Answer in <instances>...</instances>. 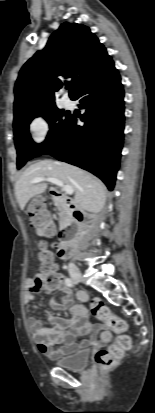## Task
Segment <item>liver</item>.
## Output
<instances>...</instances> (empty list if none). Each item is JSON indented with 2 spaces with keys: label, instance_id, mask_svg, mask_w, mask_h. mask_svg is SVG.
<instances>
[{
  "label": "liver",
  "instance_id": "obj_1",
  "mask_svg": "<svg viewBox=\"0 0 155 413\" xmlns=\"http://www.w3.org/2000/svg\"><path fill=\"white\" fill-rule=\"evenodd\" d=\"M37 177H52L70 185L74 191V204L82 211L100 212L106 202L105 185L86 171L58 161L41 160L29 166L15 183V195L20 209L24 210L28 201L42 194L47 184L44 181L31 183Z\"/></svg>",
  "mask_w": 155,
  "mask_h": 413
}]
</instances>
